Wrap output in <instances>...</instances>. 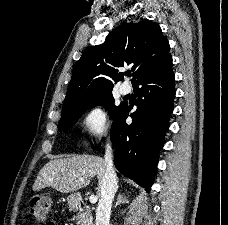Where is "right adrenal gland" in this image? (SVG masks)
<instances>
[{
    "instance_id": "right-adrenal-gland-1",
    "label": "right adrenal gland",
    "mask_w": 228,
    "mask_h": 225,
    "mask_svg": "<svg viewBox=\"0 0 228 225\" xmlns=\"http://www.w3.org/2000/svg\"><path fill=\"white\" fill-rule=\"evenodd\" d=\"M121 203H130L128 199H124V193H122V195H118L117 203H115V209L118 207V205H121Z\"/></svg>"
}]
</instances>
